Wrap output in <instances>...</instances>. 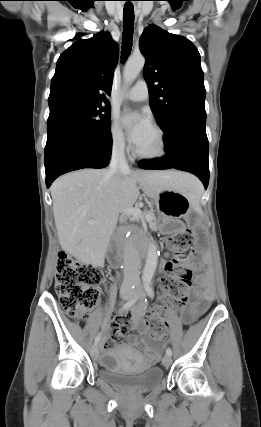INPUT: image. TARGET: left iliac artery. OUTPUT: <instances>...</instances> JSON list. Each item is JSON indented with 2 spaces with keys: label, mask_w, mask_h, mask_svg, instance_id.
Instances as JSON below:
<instances>
[{
  "label": "left iliac artery",
  "mask_w": 261,
  "mask_h": 427,
  "mask_svg": "<svg viewBox=\"0 0 261 427\" xmlns=\"http://www.w3.org/2000/svg\"><path fill=\"white\" fill-rule=\"evenodd\" d=\"M146 292L148 293V296L150 297V298H153L154 297V291H153V289H152V287L150 286V284L149 283H147V285H146ZM146 301V300H145ZM166 354H168V355H172V350H171V348H167L166 349Z\"/></svg>",
  "instance_id": "44dca946"
}]
</instances>
